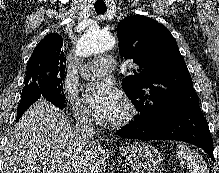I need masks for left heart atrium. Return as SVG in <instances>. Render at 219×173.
<instances>
[{
  "label": "left heart atrium",
  "instance_id": "left-heart-atrium-1",
  "mask_svg": "<svg viewBox=\"0 0 219 173\" xmlns=\"http://www.w3.org/2000/svg\"><path fill=\"white\" fill-rule=\"evenodd\" d=\"M87 101L102 119H110L122 103L119 90L111 82H98L87 91Z\"/></svg>",
  "mask_w": 219,
  "mask_h": 173
}]
</instances>
